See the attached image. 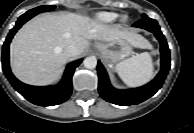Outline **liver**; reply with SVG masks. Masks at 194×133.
Wrapping results in <instances>:
<instances>
[{"label":"liver","instance_id":"liver-1","mask_svg":"<svg viewBox=\"0 0 194 133\" xmlns=\"http://www.w3.org/2000/svg\"><path fill=\"white\" fill-rule=\"evenodd\" d=\"M89 40H126L136 48H151L141 35L87 16L44 14L27 22L14 36L10 45L12 71L27 84H51L60 78L68 60L65 48L74 45L80 55L89 46Z\"/></svg>","mask_w":194,"mask_h":133}]
</instances>
